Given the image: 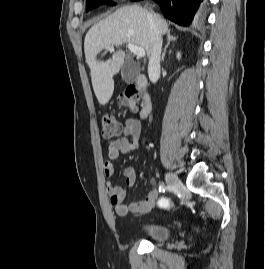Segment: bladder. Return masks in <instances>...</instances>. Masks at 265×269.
<instances>
[{"label": "bladder", "instance_id": "obj_1", "mask_svg": "<svg viewBox=\"0 0 265 269\" xmlns=\"http://www.w3.org/2000/svg\"><path fill=\"white\" fill-rule=\"evenodd\" d=\"M144 233L155 242H163L170 238V228L162 225H149L144 230Z\"/></svg>", "mask_w": 265, "mask_h": 269}]
</instances>
